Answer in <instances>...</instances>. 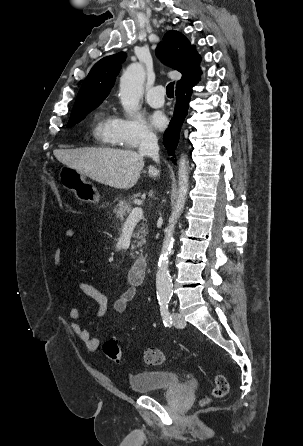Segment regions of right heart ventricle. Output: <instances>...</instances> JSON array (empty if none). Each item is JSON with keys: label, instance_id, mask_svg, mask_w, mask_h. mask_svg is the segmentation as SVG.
Listing matches in <instances>:
<instances>
[{"label": "right heart ventricle", "instance_id": "e07e8e85", "mask_svg": "<svg viewBox=\"0 0 303 446\" xmlns=\"http://www.w3.org/2000/svg\"><path fill=\"white\" fill-rule=\"evenodd\" d=\"M116 118L107 112L100 113L92 129V135L96 143L102 146H115L118 144L115 137Z\"/></svg>", "mask_w": 303, "mask_h": 446}]
</instances>
